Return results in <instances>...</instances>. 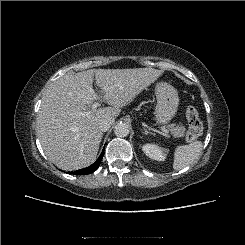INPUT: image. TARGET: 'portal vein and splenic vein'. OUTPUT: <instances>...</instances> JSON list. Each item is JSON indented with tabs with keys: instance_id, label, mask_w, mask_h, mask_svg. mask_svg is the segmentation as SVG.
Instances as JSON below:
<instances>
[{
	"instance_id": "obj_1",
	"label": "portal vein and splenic vein",
	"mask_w": 245,
	"mask_h": 245,
	"mask_svg": "<svg viewBox=\"0 0 245 245\" xmlns=\"http://www.w3.org/2000/svg\"><path fill=\"white\" fill-rule=\"evenodd\" d=\"M100 106V103L99 102H95L93 105H92V111H96L97 110V108ZM91 111H88V112H80V113H78V115L79 116H83V117H89L90 115H91ZM161 130L165 133V134H167V135H169V130L168 129H166V128H164V127H161Z\"/></svg>"
}]
</instances>
